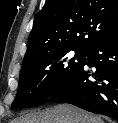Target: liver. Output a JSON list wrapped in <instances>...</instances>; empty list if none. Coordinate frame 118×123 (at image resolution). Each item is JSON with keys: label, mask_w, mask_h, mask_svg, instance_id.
Instances as JSON below:
<instances>
[{"label": "liver", "mask_w": 118, "mask_h": 123, "mask_svg": "<svg viewBox=\"0 0 118 123\" xmlns=\"http://www.w3.org/2000/svg\"><path fill=\"white\" fill-rule=\"evenodd\" d=\"M11 123H104L99 116L92 115L70 104H59L45 111L30 112L12 120Z\"/></svg>", "instance_id": "obj_1"}]
</instances>
